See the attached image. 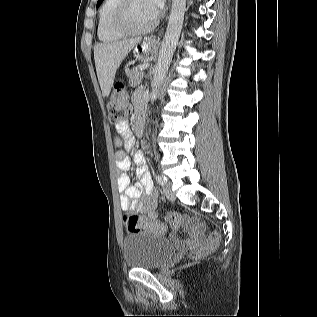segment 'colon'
<instances>
[{"mask_svg": "<svg viewBox=\"0 0 317 317\" xmlns=\"http://www.w3.org/2000/svg\"><path fill=\"white\" fill-rule=\"evenodd\" d=\"M108 117L110 122L117 124L125 120L131 112V107L128 102V95L126 88L122 82H117L112 90L110 100L107 105ZM167 221L171 227L197 225L196 221L185 216L175 213L167 215ZM124 225L129 232L152 231L155 233H164L166 226L159 221H151L146 217H141L133 214H126L124 216ZM220 243V234L213 230L210 232L205 241L199 243L192 250V257L201 258L211 251L215 250Z\"/></svg>", "mask_w": 317, "mask_h": 317, "instance_id": "1", "label": "colon"}]
</instances>
